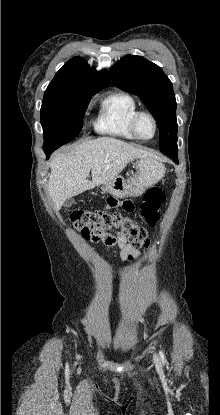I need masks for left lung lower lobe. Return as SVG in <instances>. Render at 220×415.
<instances>
[{"mask_svg": "<svg viewBox=\"0 0 220 415\" xmlns=\"http://www.w3.org/2000/svg\"><path fill=\"white\" fill-rule=\"evenodd\" d=\"M168 157H170L175 163L178 164V156H177V152H167L165 153Z\"/></svg>", "mask_w": 220, "mask_h": 415, "instance_id": "obj_1", "label": "left lung lower lobe"}]
</instances>
